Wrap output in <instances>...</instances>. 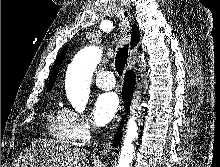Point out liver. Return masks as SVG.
Segmentation results:
<instances>
[{
	"label": "liver",
	"instance_id": "obj_1",
	"mask_svg": "<svg viewBox=\"0 0 220 167\" xmlns=\"http://www.w3.org/2000/svg\"><path fill=\"white\" fill-rule=\"evenodd\" d=\"M87 152L55 140L38 139L22 151L14 167H84Z\"/></svg>",
	"mask_w": 220,
	"mask_h": 167
}]
</instances>
